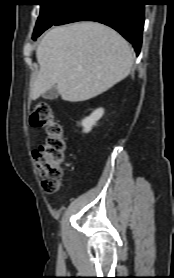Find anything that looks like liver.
<instances>
[{
    "instance_id": "1",
    "label": "liver",
    "mask_w": 174,
    "mask_h": 278,
    "mask_svg": "<svg viewBox=\"0 0 174 278\" xmlns=\"http://www.w3.org/2000/svg\"><path fill=\"white\" fill-rule=\"evenodd\" d=\"M40 70L30 98L56 87L62 99H91L125 79L134 62L129 43L115 30L97 22L51 29L36 50Z\"/></svg>"
}]
</instances>
